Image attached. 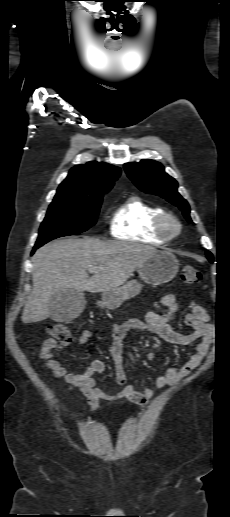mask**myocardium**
<instances>
[{
  "label": "myocardium",
  "mask_w": 230,
  "mask_h": 517,
  "mask_svg": "<svg viewBox=\"0 0 230 517\" xmlns=\"http://www.w3.org/2000/svg\"><path fill=\"white\" fill-rule=\"evenodd\" d=\"M156 229L165 240H172L181 233L182 225L175 215L165 212L158 217Z\"/></svg>",
  "instance_id": "obj_1"
}]
</instances>
